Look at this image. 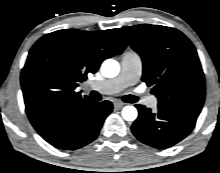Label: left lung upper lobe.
Here are the masks:
<instances>
[{
	"label": "left lung upper lobe",
	"mask_w": 220,
	"mask_h": 173,
	"mask_svg": "<svg viewBox=\"0 0 220 173\" xmlns=\"http://www.w3.org/2000/svg\"><path fill=\"white\" fill-rule=\"evenodd\" d=\"M143 60V76L166 107L198 116L204 102V76L197 52L179 30L140 24L118 29Z\"/></svg>",
	"instance_id": "5c2ea615"
}]
</instances>
